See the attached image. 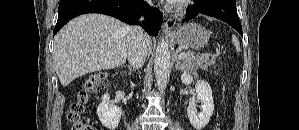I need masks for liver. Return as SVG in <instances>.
I'll return each mask as SVG.
<instances>
[{
  "instance_id": "1",
  "label": "liver",
  "mask_w": 299,
  "mask_h": 130,
  "mask_svg": "<svg viewBox=\"0 0 299 130\" xmlns=\"http://www.w3.org/2000/svg\"><path fill=\"white\" fill-rule=\"evenodd\" d=\"M129 26L103 14H85L68 22L54 38L53 64L63 87L74 79L122 66L128 57ZM145 49L152 40L145 34Z\"/></svg>"
}]
</instances>
